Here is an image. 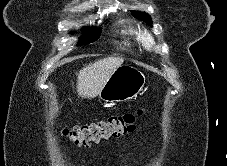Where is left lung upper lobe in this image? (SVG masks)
I'll return each instance as SVG.
<instances>
[{
	"mask_svg": "<svg viewBox=\"0 0 227 166\" xmlns=\"http://www.w3.org/2000/svg\"><path fill=\"white\" fill-rule=\"evenodd\" d=\"M132 14L133 16H135V18L140 19L149 25H152L151 17L148 14L143 12H137V11H133Z\"/></svg>",
	"mask_w": 227,
	"mask_h": 166,
	"instance_id": "obj_1",
	"label": "left lung upper lobe"
}]
</instances>
